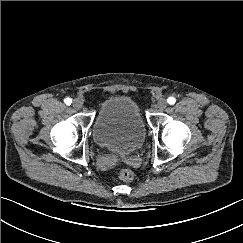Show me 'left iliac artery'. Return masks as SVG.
I'll return each mask as SVG.
<instances>
[{
	"mask_svg": "<svg viewBox=\"0 0 243 243\" xmlns=\"http://www.w3.org/2000/svg\"><path fill=\"white\" fill-rule=\"evenodd\" d=\"M167 102H168V104L173 105V104H175L176 99H175L174 97H169V98L167 99Z\"/></svg>",
	"mask_w": 243,
	"mask_h": 243,
	"instance_id": "44dca946",
	"label": "left iliac artery"
}]
</instances>
